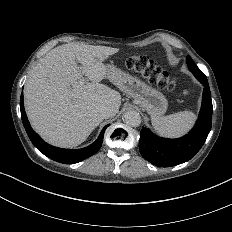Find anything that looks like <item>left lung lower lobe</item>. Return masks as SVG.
<instances>
[{
  "label": "left lung lower lobe",
  "mask_w": 232,
  "mask_h": 232,
  "mask_svg": "<svg viewBox=\"0 0 232 232\" xmlns=\"http://www.w3.org/2000/svg\"><path fill=\"white\" fill-rule=\"evenodd\" d=\"M199 81L204 86L202 106L198 120L188 134L177 139H166L153 135L147 128H142L139 150L150 163L159 167L176 166L190 160L203 146L211 130L213 106L208 81Z\"/></svg>",
  "instance_id": "obj_1"
}]
</instances>
